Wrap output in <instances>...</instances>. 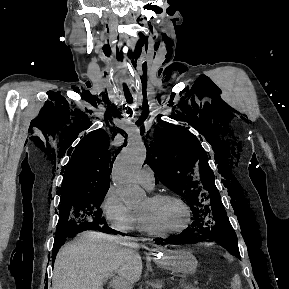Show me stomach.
<instances>
[{
  "label": "stomach",
  "mask_w": 289,
  "mask_h": 289,
  "mask_svg": "<svg viewBox=\"0 0 289 289\" xmlns=\"http://www.w3.org/2000/svg\"><path fill=\"white\" fill-rule=\"evenodd\" d=\"M166 266L175 273L192 275L197 268L198 262L189 250H177L166 252L164 256Z\"/></svg>",
  "instance_id": "0dacf381"
}]
</instances>
